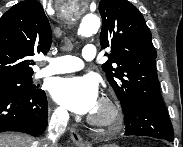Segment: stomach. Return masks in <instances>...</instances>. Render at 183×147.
I'll return each instance as SVG.
<instances>
[{
	"instance_id": "obj_1",
	"label": "stomach",
	"mask_w": 183,
	"mask_h": 147,
	"mask_svg": "<svg viewBox=\"0 0 183 147\" xmlns=\"http://www.w3.org/2000/svg\"><path fill=\"white\" fill-rule=\"evenodd\" d=\"M101 147H118L116 144H105L102 145Z\"/></svg>"
}]
</instances>
